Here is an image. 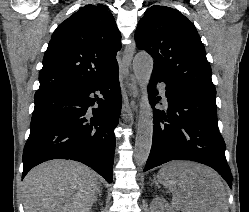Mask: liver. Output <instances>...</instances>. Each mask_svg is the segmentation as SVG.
I'll use <instances>...</instances> for the list:
<instances>
[{
  "label": "liver",
  "instance_id": "liver-1",
  "mask_svg": "<svg viewBox=\"0 0 249 212\" xmlns=\"http://www.w3.org/2000/svg\"><path fill=\"white\" fill-rule=\"evenodd\" d=\"M181 212H228L221 176L196 162H171L158 174ZM100 192L96 174L72 160L36 166L23 180L25 212H91Z\"/></svg>",
  "mask_w": 249,
  "mask_h": 212
}]
</instances>
